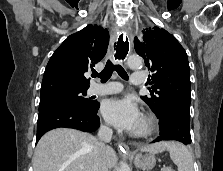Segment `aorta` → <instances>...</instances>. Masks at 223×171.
Returning a JSON list of instances; mask_svg holds the SVG:
<instances>
[{
	"instance_id": "obj_1",
	"label": "aorta",
	"mask_w": 223,
	"mask_h": 171,
	"mask_svg": "<svg viewBox=\"0 0 223 171\" xmlns=\"http://www.w3.org/2000/svg\"><path fill=\"white\" fill-rule=\"evenodd\" d=\"M127 64L131 69H137L142 66V59L139 56H130ZM117 171H130V168L126 162H121Z\"/></svg>"
}]
</instances>
